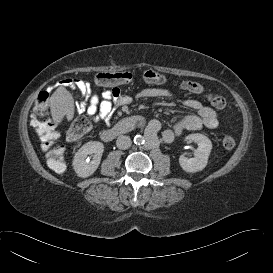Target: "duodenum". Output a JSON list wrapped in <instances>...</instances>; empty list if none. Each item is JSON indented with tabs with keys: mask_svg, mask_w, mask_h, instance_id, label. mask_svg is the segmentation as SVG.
<instances>
[{
	"mask_svg": "<svg viewBox=\"0 0 273 273\" xmlns=\"http://www.w3.org/2000/svg\"><path fill=\"white\" fill-rule=\"evenodd\" d=\"M141 122H143V119L137 116L124 118L115 123L111 128L104 130L101 133V139L104 142H111L117 137L134 130Z\"/></svg>",
	"mask_w": 273,
	"mask_h": 273,
	"instance_id": "410a0bca",
	"label": "duodenum"
}]
</instances>
